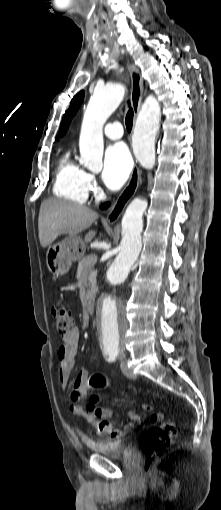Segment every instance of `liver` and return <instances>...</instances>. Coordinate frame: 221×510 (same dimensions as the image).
Instances as JSON below:
<instances>
[{
    "instance_id": "1",
    "label": "liver",
    "mask_w": 221,
    "mask_h": 510,
    "mask_svg": "<svg viewBox=\"0 0 221 510\" xmlns=\"http://www.w3.org/2000/svg\"><path fill=\"white\" fill-rule=\"evenodd\" d=\"M98 217L96 211L86 206L61 199H47L41 203L38 218L40 244L45 248L60 235L75 236L89 228ZM95 235L96 231H89L85 235V242H90Z\"/></svg>"
}]
</instances>
